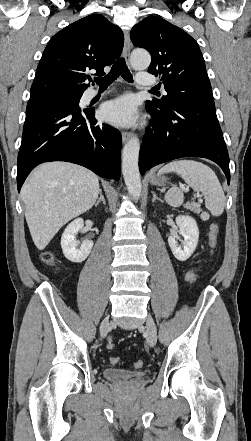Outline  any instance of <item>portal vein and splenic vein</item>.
Here are the masks:
<instances>
[{"instance_id": "1", "label": "portal vein and splenic vein", "mask_w": 251, "mask_h": 441, "mask_svg": "<svg viewBox=\"0 0 251 441\" xmlns=\"http://www.w3.org/2000/svg\"><path fill=\"white\" fill-rule=\"evenodd\" d=\"M188 191H189V189H188V188H186V189H185V192H188Z\"/></svg>"}]
</instances>
